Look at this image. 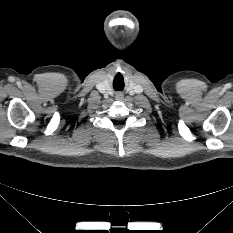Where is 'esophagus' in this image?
<instances>
[{"label": "esophagus", "mask_w": 233, "mask_h": 233, "mask_svg": "<svg viewBox=\"0 0 233 233\" xmlns=\"http://www.w3.org/2000/svg\"><path fill=\"white\" fill-rule=\"evenodd\" d=\"M122 98H123V94H121V93L116 94V99L117 100H121Z\"/></svg>", "instance_id": "esophagus-1"}]
</instances>
